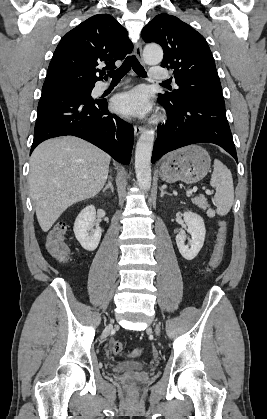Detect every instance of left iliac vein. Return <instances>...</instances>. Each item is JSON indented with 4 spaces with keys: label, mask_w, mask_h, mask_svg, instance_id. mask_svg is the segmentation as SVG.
I'll use <instances>...</instances> for the list:
<instances>
[{
    "label": "left iliac vein",
    "mask_w": 267,
    "mask_h": 419,
    "mask_svg": "<svg viewBox=\"0 0 267 419\" xmlns=\"http://www.w3.org/2000/svg\"><path fill=\"white\" fill-rule=\"evenodd\" d=\"M155 333H156V335H159L160 334V326H159V324H157L156 327H155Z\"/></svg>",
    "instance_id": "4c4485c4"
}]
</instances>
